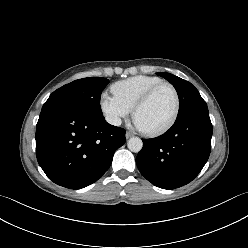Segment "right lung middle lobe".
Wrapping results in <instances>:
<instances>
[{"mask_svg":"<svg viewBox=\"0 0 248 248\" xmlns=\"http://www.w3.org/2000/svg\"><path fill=\"white\" fill-rule=\"evenodd\" d=\"M108 83L109 80L101 77L75 80L54 91L44 103L42 109L70 105L94 114L103 115L100 107V97Z\"/></svg>","mask_w":248,"mask_h":248,"instance_id":"1","label":"right lung middle lobe"}]
</instances>
